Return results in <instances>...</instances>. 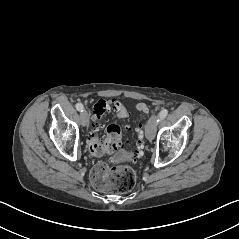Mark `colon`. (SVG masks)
<instances>
[{
  "instance_id": "5ec220e1",
  "label": "colon",
  "mask_w": 239,
  "mask_h": 239,
  "mask_svg": "<svg viewBox=\"0 0 239 239\" xmlns=\"http://www.w3.org/2000/svg\"><path fill=\"white\" fill-rule=\"evenodd\" d=\"M112 106L113 102L110 100H99L93 107V127L88 137L89 150L96 156L105 154H113L114 156L112 165L99 163L94 166L91 179L94 186L99 190L123 194L129 192L136 183V173L125 161L135 160L143 154L144 131L141 126L137 128L138 142L133 153L120 149L122 130L118 124H109L106 128L104 140H100L97 135L100 120ZM137 109L145 113L151 111L145 103H139ZM126 116V111L117 114L119 119H124Z\"/></svg>"
}]
</instances>
